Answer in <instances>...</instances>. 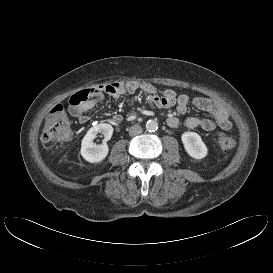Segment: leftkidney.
I'll return each mask as SVG.
<instances>
[{
  "instance_id": "1",
  "label": "left kidney",
  "mask_w": 273,
  "mask_h": 273,
  "mask_svg": "<svg viewBox=\"0 0 273 273\" xmlns=\"http://www.w3.org/2000/svg\"><path fill=\"white\" fill-rule=\"evenodd\" d=\"M185 151L189 156L195 159L204 158L207 153V147L199 134L195 132H184L181 136Z\"/></svg>"
}]
</instances>
